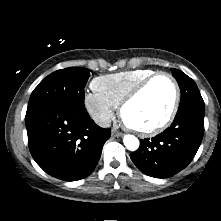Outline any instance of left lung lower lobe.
<instances>
[{
  "label": "left lung lower lobe",
  "mask_w": 221,
  "mask_h": 221,
  "mask_svg": "<svg viewBox=\"0 0 221 221\" xmlns=\"http://www.w3.org/2000/svg\"><path fill=\"white\" fill-rule=\"evenodd\" d=\"M205 105L193 104L178 109L172 125L152 139L141 140L130 158L144 174L167 178L189 165L204 134Z\"/></svg>",
  "instance_id": "left-lung-lower-lobe-1"
}]
</instances>
